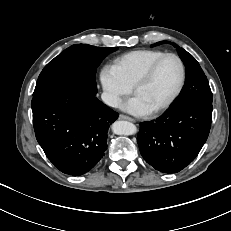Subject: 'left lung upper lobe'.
I'll list each match as a JSON object with an SVG mask.
<instances>
[{
    "label": "left lung upper lobe",
    "mask_w": 231,
    "mask_h": 231,
    "mask_svg": "<svg viewBox=\"0 0 231 231\" xmlns=\"http://www.w3.org/2000/svg\"><path fill=\"white\" fill-rule=\"evenodd\" d=\"M164 43H170L176 47L178 54L186 67V83L180 95L172 105L189 101L212 103V92L207 77L196 59L175 43L161 41L152 46H158Z\"/></svg>",
    "instance_id": "obj_1"
}]
</instances>
